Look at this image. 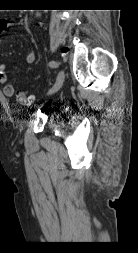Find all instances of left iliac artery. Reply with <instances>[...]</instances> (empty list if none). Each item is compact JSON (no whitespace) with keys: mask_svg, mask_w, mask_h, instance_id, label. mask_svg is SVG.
I'll return each mask as SVG.
<instances>
[{"mask_svg":"<svg viewBox=\"0 0 138 253\" xmlns=\"http://www.w3.org/2000/svg\"><path fill=\"white\" fill-rule=\"evenodd\" d=\"M49 66L51 68H57L58 67V63L56 61L52 60V61L49 62Z\"/></svg>","mask_w":138,"mask_h":253,"instance_id":"1","label":"left iliac artery"}]
</instances>
